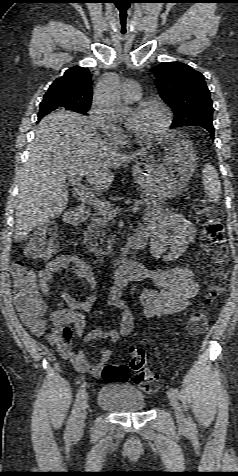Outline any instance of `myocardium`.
Returning a JSON list of instances; mask_svg holds the SVG:
<instances>
[{
    "label": "myocardium",
    "instance_id": "1",
    "mask_svg": "<svg viewBox=\"0 0 238 476\" xmlns=\"http://www.w3.org/2000/svg\"><path fill=\"white\" fill-rule=\"evenodd\" d=\"M146 107H156L160 109V111L163 114V122L156 130H154L153 132H151L150 134L146 136H138L134 134L135 139L141 142L151 141L163 135L169 129L172 123V113L166 103L159 100H155V99H148L138 103L135 110H141Z\"/></svg>",
    "mask_w": 238,
    "mask_h": 476
}]
</instances>
